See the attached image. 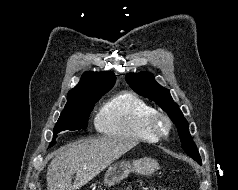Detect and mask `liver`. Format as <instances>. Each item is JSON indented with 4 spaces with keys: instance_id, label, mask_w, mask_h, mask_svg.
Segmentation results:
<instances>
[{
    "instance_id": "liver-1",
    "label": "liver",
    "mask_w": 238,
    "mask_h": 190,
    "mask_svg": "<svg viewBox=\"0 0 238 190\" xmlns=\"http://www.w3.org/2000/svg\"><path fill=\"white\" fill-rule=\"evenodd\" d=\"M137 144L122 137H101L61 148L48 166L47 190L81 188Z\"/></svg>"
}]
</instances>
